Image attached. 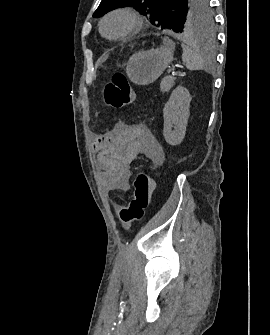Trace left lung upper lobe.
I'll list each match as a JSON object with an SVG mask.
<instances>
[{"label": "left lung upper lobe", "instance_id": "left-lung-upper-lobe-1", "mask_svg": "<svg viewBox=\"0 0 270 335\" xmlns=\"http://www.w3.org/2000/svg\"><path fill=\"white\" fill-rule=\"evenodd\" d=\"M210 0H102L93 17L120 7H133L162 30L194 33L211 30L214 23Z\"/></svg>", "mask_w": 270, "mask_h": 335}]
</instances>
